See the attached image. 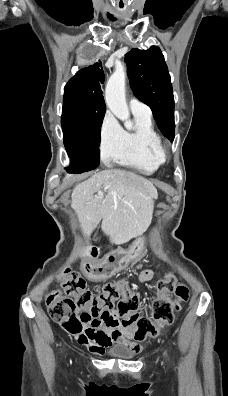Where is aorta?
<instances>
[{
  "label": "aorta",
  "mask_w": 228,
  "mask_h": 396,
  "mask_svg": "<svg viewBox=\"0 0 228 396\" xmlns=\"http://www.w3.org/2000/svg\"><path fill=\"white\" fill-rule=\"evenodd\" d=\"M126 70L124 66L117 65L114 73L109 78L105 89V101L110 111L121 121L127 130L133 128L130 113L125 98Z\"/></svg>",
  "instance_id": "762f6f07"
}]
</instances>
